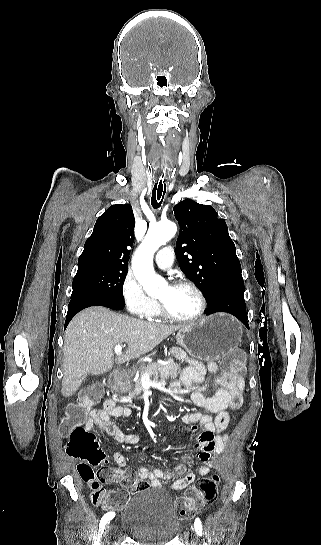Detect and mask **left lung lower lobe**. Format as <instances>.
Segmentation results:
<instances>
[{
    "label": "left lung lower lobe",
    "instance_id": "1",
    "mask_svg": "<svg viewBox=\"0 0 321 545\" xmlns=\"http://www.w3.org/2000/svg\"><path fill=\"white\" fill-rule=\"evenodd\" d=\"M209 308L206 315L215 312H227L237 317L249 328L244 300V281L242 276L227 279L215 286L211 295L206 298Z\"/></svg>",
    "mask_w": 321,
    "mask_h": 545
}]
</instances>
